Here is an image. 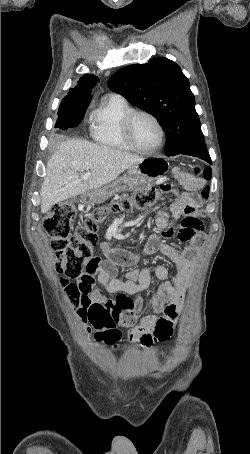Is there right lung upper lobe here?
I'll list each match as a JSON object with an SVG mask.
<instances>
[{
    "label": "right lung upper lobe",
    "mask_w": 250,
    "mask_h": 454,
    "mask_svg": "<svg viewBox=\"0 0 250 454\" xmlns=\"http://www.w3.org/2000/svg\"><path fill=\"white\" fill-rule=\"evenodd\" d=\"M99 79L95 75L85 74L78 81V85L75 88L69 90V94L62 100V104H72L79 102L91 101V89L98 83Z\"/></svg>",
    "instance_id": "cb5924a9"
}]
</instances>
